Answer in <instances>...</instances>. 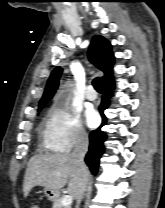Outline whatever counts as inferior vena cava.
Segmentation results:
<instances>
[{"instance_id":"obj_1","label":"inferior vena cava","mask_w":165,"mask_h":208,"mask_svg":"<svg viewBox=\"0 0 165 208\" xmlns=\"http://www.w3.org/2000/svg\"><path fill=\"white\" fill-rule=\"evenodd\" d=\"M88 145H89L88 135L85 132H80L77 137V141L74 146L73 152L71 154V157H72L75 165L78 168V171L80 172V174L83 178V186H82L81 192L77 198L76 208L79 207V204L83 198V194L86 190V186L88 183V178H87L88 168L84 162L85 154L88 151Z\"/></svg>"}]
</instances>
